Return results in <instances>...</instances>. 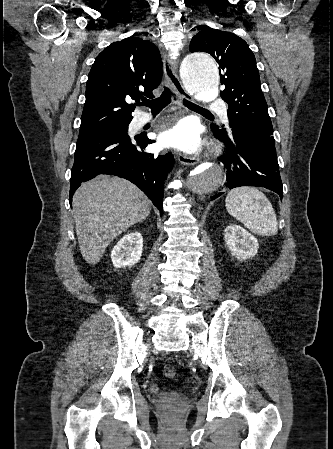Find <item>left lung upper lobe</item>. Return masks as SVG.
Here are the masks:
<instances>
[{
  "label": "left lung upper lobe",
  "instance_id": "left-lung-upper-lobe-1",
  "mask_svg": "<svg viewBox=\"0 0 333 449\" xmlns=\"http://www.w3.org/2000/svg\"><path fill=\"white\" fill-rule=\"evenodd\" d=\"M189 49L209 53L220 66L231 134L249 133L275 146L256 59L247 43L234 33L206 27L192 38ZM211 129L228 135L223 126L212 124Z\"/></svg>",
  "mask_w": 333,
  "mask_h": 449
}]
</instances>
